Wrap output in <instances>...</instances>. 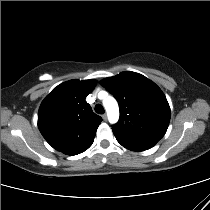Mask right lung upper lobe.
Listing matches in <instances>:
<instances>
[{
    "label": "right lung upper lobe",
    "mask_w": 210,
    "mask_h": 210,
    "mask_svg": "<svg viewBox=\"0 0 210 210\" xmlns=\"http://www.w3.org/2000/svg\"><path fill=\"white\" fill-rule=\"evenodd\" d=\"M96 84V80H70L55 87L42 101L38 128L54 149L77 155L92 145L102 119L85 98Z\"/></svg>",
    "instance_id": "obj_1"
}]
</instances>
